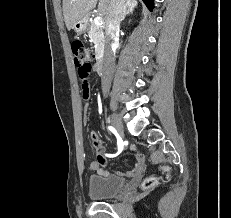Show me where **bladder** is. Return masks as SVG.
I'll list each match as a JSON object with an SVG mask.
<instances>
[{
  "instance_id": "obj_1",
  "label": "bladder",
  "mask_w": 231,
  "mask_h": 218,
  "mask_svg": "<svg viewBox=\"0 0 231 218\" xmlns=\"http://www.w3.org/2000/svg\"><path fill=\"white\" fill-rule=\"evenodd\" d=\"M125 186V180L118 176L93 175L89 179L88 194L94 200L116 196Z\"/></svg>"
}]
</instances>
